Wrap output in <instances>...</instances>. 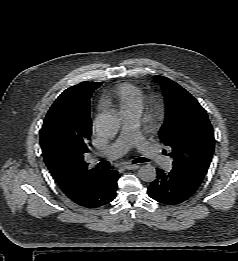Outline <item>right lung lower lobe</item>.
<instances>
[{
  "label": "right lung lower lobe",
  "mask_w": 238,
  "mask_h": 261,
  "mask_svg": "<svg viewBox=\"0 0 238 261\" xmlns=\"http://www.w3.org/2000/svg\"><path fill=\"white\" fill-rule=\"evenodd\" d=\"M119 174L115 170H101L90 187L72 200L79 206L94 209L110 203L116 197Z\"/></svg>",
  "instance_id": "1"
}]
</instances>
